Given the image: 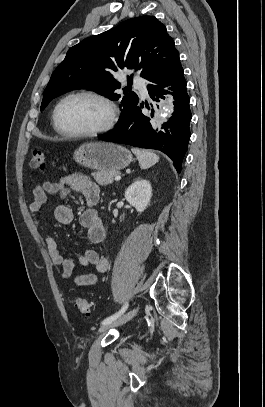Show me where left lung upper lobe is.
<instances>
[{"label": "left lung upper lobe", "instance_id": "5c2ea615", "mask_svg": "<svg viewBox=\"0 0 265 407\" xmlns=\"http://www.w3.org/2000/svg\"><path fill=\"white\" fill-rule=\"evenodd\" d=\"M179 62L174 40L160 21L154 16L129 19L68 50L44 90L41 110L53 98L76 88L92 89L116 101L121 98L116 93L121 84L113 78V72L138 69L141 76L149 81L167 75ZM131 79L128 77L129 81ZM124 94L117 126L138 104V96L134 92L128 93L124 88Z\"/></svg>", "mask_w": 265, "mask_h": 407}]
</instances>
